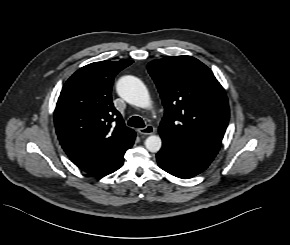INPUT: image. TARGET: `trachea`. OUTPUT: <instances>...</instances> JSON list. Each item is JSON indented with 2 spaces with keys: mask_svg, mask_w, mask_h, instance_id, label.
<instances>
[{
  "mask_svg": "<svg viewBox=\"0 0 290 245\" xmlns=\"http://www.w3.org/2000/svg\"><path fill=\"white\" fill-rule=\"evenodd\" d=\"M128 125L136 128H143L145 127V123L142 118L139 116H133L129 119Z\"/></svg>",
  "mask_w": 290,
  "mask_h": 245,
  "instance_id": "3493384b",
  "label": "trachea"
}]
</instances>
